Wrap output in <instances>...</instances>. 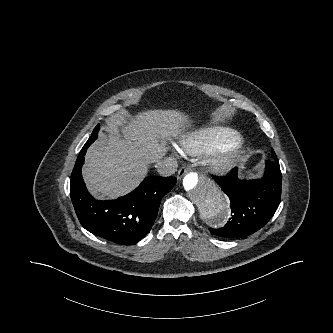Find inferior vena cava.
Here are the masks:
<instances>
[{
    "instance_id": "1",
    "label": "inferior vena cava",
    "mask_w": 333,
    "mask_h": 333,
    "mask_svg": "<svg viewBox=\"0 0 333 333\" xmlns=\"http://www.w3.org/2000/svg\"><path fill=\"white\" fill-rule=\"evenodd\" d=\"M177 161L172 158H166L157 161L156 168L163 177L171 176L177 170Z\"/></svg>"
}]
</instances>
